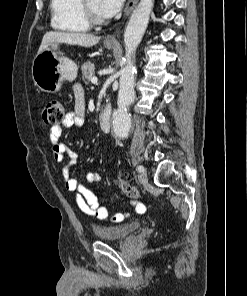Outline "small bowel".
Masks as SVG:
<instances>
[{
  "mask_svg": "<svg viewBox=\"0 0 247 296\" xmlns=\"http://www.w3.org/2000/svg\"><path fill=\"white\" fill-rule=\"evenodd\" d=\"M74 109L70 111L62 124L53 126L50 129L49 138L52 144L53 157L56 162H62L64 157L69 158L68 163L63 168V177L65 180V187L69 192L75 194V202L78 208L85 214L93 216L101 221L120 222L129 217L128 212L117 213L109 217L107 207L102 204V195L98 191L100 176L95 171L86 173V182L96 186L94 191L81 183L76 178L71 177V167L77 162L79 154L71 150L64 142L61 141V134L65 128H79L85 124L84 110V91L79 84L74 86ZM138 211L143 207L142 204L131 201Z\"/></svg>",
  "mask_w": 247,
  "mask_h": 296,
  "instance_id": "obj_1",
  "label": "small bowel"
}]
</instances>
